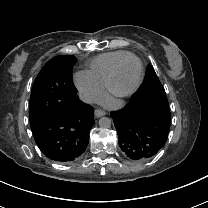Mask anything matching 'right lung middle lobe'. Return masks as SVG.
<instances>
[{"label":"right lung middle lobe","instance_id":"obj_1","mask_svg":"<svg viewBox=\"0 0 208 208\" xmlns=\"http://www.w3.org/2000/svg\"><path fill=\"white\" fill-rule=\"evenodd\" d=\"M73 56H57L49 60L38 74L32 88L30 122L47 118L48 114L69 108L77 89L72 82Z\"/></svg>","mask_w":208,"mask_h":208}]
</instances>
